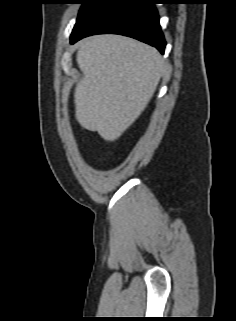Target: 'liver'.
I'll return each instance as SVG.
<instances>
[{
	"instance_id": "liver-1",
	"label": "liver",
	"mask_w": 236,
	"mask_h": 321,
	"mask_svg": "<svg viewBox=\"0 0 236 321\" xmlns=\"http://www.w3.org/2000/svg\"><path fill=\"white\" fill-rule=\"evenodd\" d=\"M83 73L74 92L79 124L106 141L118 139L151 100L165 68L159 52L120 35H96L79 44Z\"/></svg>"
}]
</instances>
